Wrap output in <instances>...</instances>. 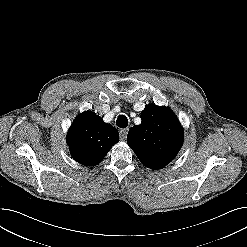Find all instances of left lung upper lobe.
Segmentation results:
<instances>
[{
	"label": "left lung upper lobe",
	"instance_id": "left-lung-upper-lobe-1",
	"mask_svg": "<svg viewBox=\"0 0 247 247\" xmlns=\"http://www.w3.org/2000/svg\"><path fill=\"white\" fill-rule=\"evenodd\" d=\"M141 119L140 125L129 130L127 143L144 166L161 169L175 158L181 148L183 129L168 107L147 105Z\"/></svg>",
	"mask_w": 247,
	"mask_h": 247
}]
</instances>
